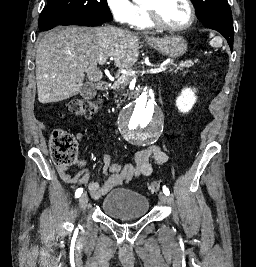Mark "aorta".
Wrapping results in <instances>:
<instances>
[{
	"label": "aorta",
	"instance_id": "762f6f07",
	"mask_svg": "<svg viewBox=\"0 0 256 267\" xmlns=\"http://www.w3.org/2000/svg\"><path fill=\"white\" fill-rule=\"evenodd\" d=\"M154 92H145L139 101H131L124 117H118L119 127H161L162 108L154 104ZM129 143H159L160 128H121Z\"/></svg>",
	"mask_w": 256,
	"mask_h": 267
}]
</instances>
